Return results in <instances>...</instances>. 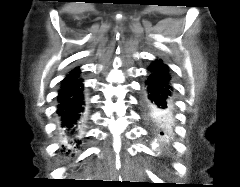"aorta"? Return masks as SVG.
I'll use <instances>...</instances> for the list:
<instances>
[{
    "label": "aorta",
    "mask_w": 240,
    "mask_h": 187,
    "mask_svg": "<svg viewBox=\"0 0 240 187\" xmlns=\"http://www.w3.org/2000/svg\"><path fill=\"white\" fill-rule=\"evenodd\" d=\"M159 145H160L159 140L156 137H154L152 143L153 148H157L159 147Z\"/></svg>",
    "instance_id": "762f6f07"
}]
</instances>
